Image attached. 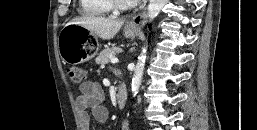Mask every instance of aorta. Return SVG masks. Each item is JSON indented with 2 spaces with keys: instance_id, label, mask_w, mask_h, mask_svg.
Returning a JSON list of instances; mask_svg holds the SVG:
<instances>
[{
  "instance_id": "1",
  "label": "aorta",
  "mask_w": 257,
  "mask_h": 130,
  "mask_svg": "<svg viewBox=\"0 0 257 130\" xmlns=\"http://www.w3.org/2000/svg\"><path fill=\"white\" fill-rule=\"evenodd\" d=\"M166 2V0H150L148 5V17L150 20H153L160 13ZM145 60L146 54L145 50H143V52L138 56V61L131 83V90L134 96H136V94L138 93L142 82Z\"/></svg>"
}]
</instances>
